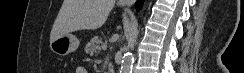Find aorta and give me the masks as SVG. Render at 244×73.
Masks as SVG:
<instances>
[{
    "label": "aorta",
    "instance_id": "aorta-1",
    "mask_svg": "<svg viewBox=\"0 0 244 73\" xmlns=\"http://www.w3.org/2000/svg\"><path fill=\"white\" fill-rule=\"evenodd\" d=\"M133 55L131 52H126L122 59L121 73H132Z\"/></svg>",
    "mask_w": 244,
    "mask_h": 73
}]
</instances>
